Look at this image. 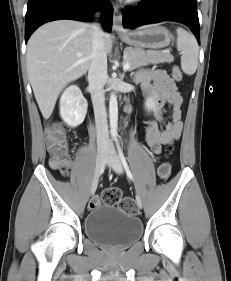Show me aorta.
<instances>
[{
    "instance_id": "762f6f07",
    "label": "aorta",
    "mask_w": 231,
    "mask_h": 281,
    "mask_svg": "<svg viewBox=\"0 0 231 281\" xmlns=\"http://www.w3.org/2000/svg\"><path fill=\"white\" fill-rule=\"evenodd\" d=\"M109 119L111 134L112 136H116L118 128V101L114 91L111 92L109 99Z\"/></svg>"
}]
</instances>
